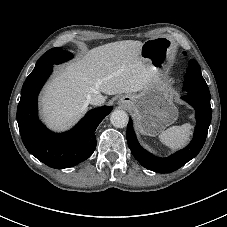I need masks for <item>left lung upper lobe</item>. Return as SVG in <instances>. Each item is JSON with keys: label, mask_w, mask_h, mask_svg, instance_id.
<instances>
[{"label": "left lung upper lobe", "mask_w": 227, "mask_h": 227, "mask_svg": "<svg viewBox=\"0 0 227 227\" xmlns=\"http://www.w3.org/2000/svg\"><path fill=\"white\" fill-rule=\"evenodd\" d=\"M184 90L188 95L210 99L209 88L202 77L199 64L191 59L184 79Z\"/></svg>", "instance_id": "1"}]
</instances>
